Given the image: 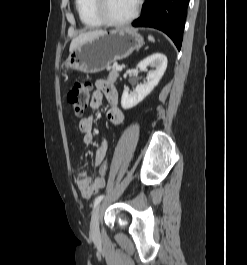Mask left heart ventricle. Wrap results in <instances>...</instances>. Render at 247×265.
Returning a JSON list of instances; mask_svg holds the SVG:
<instances>
[{
    "instance_id": "left-heart-ventricle-1",
    "label": "left heart ventricle",
    "mask_w": 247,
    "mask_h": 265,
    "mask_svg": "<svg viewBox=\"0 0 247 265\" xmlns=\"http://www.w3.org/2000/svg\"><path fill=\"white\" fill-rule=\"evenodd\" d=\"M137 0H107V12L110 17L122 20L131 15Z\"/></svg>"
}]
</instances>
